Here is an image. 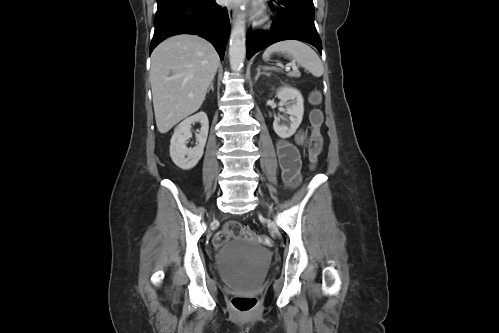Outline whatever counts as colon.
Returning a JSON list of instances; mask_svg holds the SVG:
<instances>
[{
  "label": "colon",
  "mask_w": 499,
  "mask_h": 333,
  "mask_svg": "<svg viewBox=\"0 0 499 333\" xmlns=\"http://www.w3.org/2000/svg\"><path fill=\"white\" fill-rule=\"evenodd\" d=\"M310 102L315 106L318 105L321 102L320 93L317 91L313 92L310 95ZM322 123L323 113L318 108L313 109L310 113L311 134L308 144V160L311 168H316L323 147ZM231 238H245L268 246L272 244L269 236L256 234L250 227L235 221L228 222L222 230L215 234L213 244L218 248L223 246ZM231 303L236 311L246 314L255 308L257 299L253 296L234 295Z\"/></svg>",
  "instance_id": "5ec220e1"
}]
</instances>
